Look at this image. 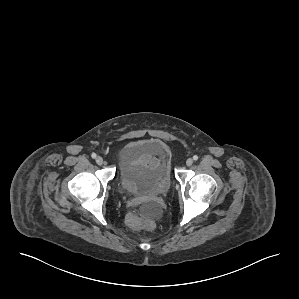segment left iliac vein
<instances>
[{
	"instance_id": "4c4485c4",
	"label": "left iliac vein",
	"mask_w": 299,
	"mask_h": 299,
	"mask_svg": "<svg viewBox=\"0 0 299 299\" xmlns=\"http://www.w3.org/2000/svg\"><path fill=\"white\" fill-rule=\"evenodd\" d=\"M193 164V160L191 159V158H188L187 160H186V165L187 166H191Z\"/></svg>"
}]
</instances>
